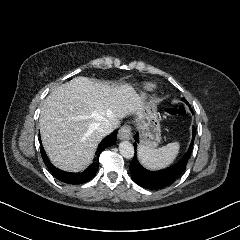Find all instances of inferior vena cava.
<instances>
[{
	"instance_id": "obj_1",
	"label": "inferior vena cava",
	"mask_w": 240,
	"mask_h": 240,
	"mask_svg": "<svg viewBox=\"0 0 240 240\" xmlns=\"http://www.w3.org/2000/svg\"><path fill=\"white\" fill-rule=\"evenodd\" d=\"M119 125V120L117 119H106L99 123L98 132L104 137L110 134Z\"/></svg>"
}]
</instances>
